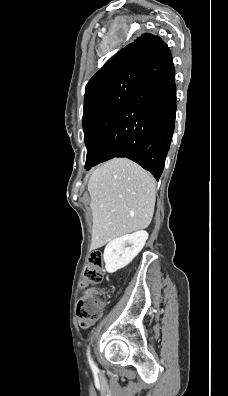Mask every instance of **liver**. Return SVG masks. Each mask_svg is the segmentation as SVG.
<instances>
[{"label":"liver","instance_id":"obj_1","mask_svg":"<svg viewBox=\"0 0 228 396\" xmlns=\"http://www.w3.org/2000/svg\"><path fill=\"white\" fill-rule=\"evenodd\" d=\"M88 191L93 226L91 248L143 230L151 223L156 185L153 177L127 158H114L93 171Z\"/></svg>","mask_w":228,"mask_h":396}]
</instances>
